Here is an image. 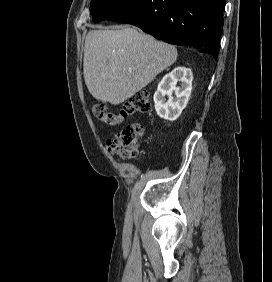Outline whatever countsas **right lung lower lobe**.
Masks as SVG:
<instances>
[{"instance_id":"98d812e1","label":"right lung lower lobe","mask_w":272,"mask_h":282,"mask_svg":"<svg viewBox=\"0 0 272 282\" xmlns=\"http://www.w3.org/2000/svg\"><path fill=\"white\" fill-rule=\"evenodd\" d=\"M225 0H136L108 20L128 23L175 45H192L217 59Z\"/></svg>"}]
</instances>
